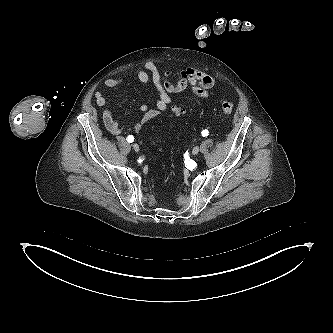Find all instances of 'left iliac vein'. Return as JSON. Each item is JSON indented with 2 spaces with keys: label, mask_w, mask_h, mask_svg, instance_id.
<instances>
[{
  "label": "left iliac vein",
  "mask_w": 333,
  "mask_h": 333,
  "mask_svg": "<svg viewBox=\"0 0 333 333\" xmlns=\"http://www.w3.org/2000/svg\"><path fill=\"white\" fill-rule=\"evenodd\" d=\"M193 155H197L199 153V147H194L192 150Z\"/></svg>",
  "instance_id": "left-iliac-vein-1"
}]
</instances>
